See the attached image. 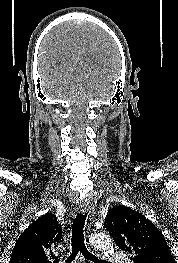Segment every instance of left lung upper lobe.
<instances>
[{"mask_svg":"<svg viewBox=\"0 0 178 263\" xmlns=\"http://www.w3.org/2000/svg\"><path fill=\"white\" fill-rule=\"evenodd\" d=\"M115 243L134 263H175L163 234L142 214L126 206L109 210L105 224Z\"/></svg>","mask_w":178,"mask_h":263,"instance_id":"left-lung-upper-lobe-1","label":"left lung upper lobe"}]
</instances>
